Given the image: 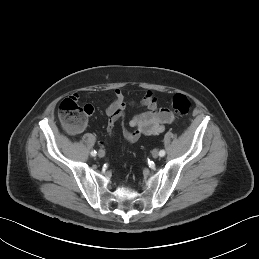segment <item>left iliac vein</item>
I'll use <instances>...</instances> for the list:
<instances>
[{
	"label": "left iliac vein",
	"instance_id": "4c4485c4",
	"mask_svg": "<svg viewBox=\"0 0 259 259\" xmlns=\"http://www.w3.org/2000/svg\"><path fill=\"white\" fill-rule=\"evenodd\" d=\"M158 156H159L158 150H157V149H154V150L152 151V157H153V158H157Z\"/></svg>",
	"mask_w": 259,
	"mask_h": 259
}]
</instances>
